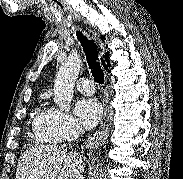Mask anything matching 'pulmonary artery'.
<instances>
[{"label": "pulmonary artery", "mask_w": 183, "mask_h": 179, "mask_svg": "<svg viewBox=\"0 0 183 179\" xmlns=\"http://www.w3.org/2000/svg\"><path fill=\"white\" fill-rule=\"evenodd\" d=\"M76 87L83 94L90 95L94 92V86L92 81L85 77H81L77 80Z\"/></svg>", "instance_id": "1"}]
</instances>
